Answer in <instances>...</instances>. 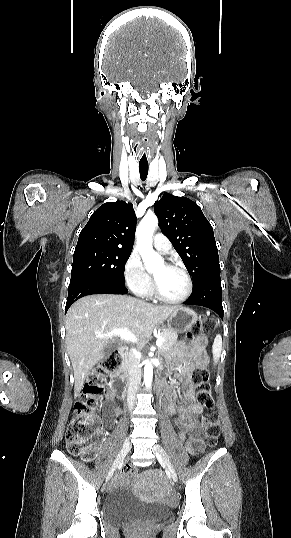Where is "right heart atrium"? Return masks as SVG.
<instances>
[{
    "instance_id": "1",
    "label": "right heart atrium",
    "mask_w": 291,
    "mask_h": 538,
    "mask_svg": "<svg viewBox=\"0 0 291 538\" xmlns=\"http://www.w3.org/2000/svg\"><path fill=\"white\" fill-rule=\"evenodd\" d=\"M123 276L126 285L139 296H145L151 289V279L146 273L139 255L132 252L127 258L124 268Z\"/></svg>"
}]
</instances>
